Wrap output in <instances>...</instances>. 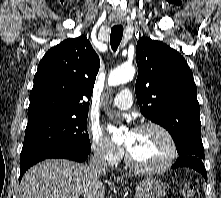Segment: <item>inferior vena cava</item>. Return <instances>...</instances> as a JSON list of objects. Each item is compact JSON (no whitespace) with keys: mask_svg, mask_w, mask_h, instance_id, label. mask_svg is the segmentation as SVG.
I'll use <instances>...</instances> for the list:
<instances>
[{"mask_svg":"<svg viewBox=\"0 0 221 198\" xmlns=\"http://www.w3.org/2000/svg\"><path fill=\"white\" fill-rule=\"evenodd\" d=\"M89 168L95 173H106L108 171L107 162L101 151H96L91 157Z\"/></svg>","mask_w":221,"mask_h":198,"instance_id":"1","label":"inferior vena cava"}]
</instances>
